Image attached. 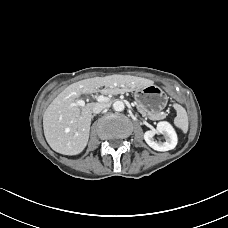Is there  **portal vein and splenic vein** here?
<instances>
[{
    "instance_id": "18ae733b",
    "label": "portal vein and splenic vein",
    "mask_w": 228,
    "mask_h": 228,
    "mask_svg": "<svg viewBox=\"0 0 228 228\" xmlns=\"http://www.w3.org/2000/svg\"><path fill=\"white\" fill-rule=\"evenodd\" d=\"M97 101H99V102H106V101H108V98L105 97V96H103V95H99V96L97 97ZM72 106L84 107V106H85V101L82 100V99L77 100V101H75V102L72 104Z\"/></svg>"
}]
</instances>
